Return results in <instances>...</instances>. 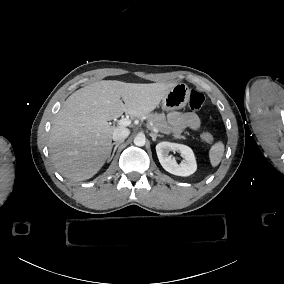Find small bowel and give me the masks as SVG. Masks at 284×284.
I'll list each match as a JSON object with an SVG mask.
<instances>
[{"instance_id": "obj_1", "label": "small bowel", "mask_w": 284, "mask_h": 284, "mask_svg": "<svg viewBox=\"0 0 284 284\" xmlns=\"http://www.w3.org/2000/svg\"><path fill=\"white\" fill-rule=\"evenodd\" d=\"M167 119L176 133H180L187 128L192 130L200 128V120L193 112L173 111L168 113Z\"/></svg>"}]
</instances>
